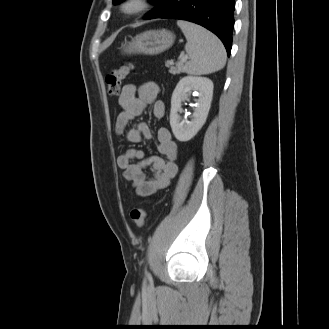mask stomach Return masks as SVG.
I'll list each match as a JSON object with an SVG mask.
<instances>
[{
  "label": "stomach",
  "instance_id": "obj_1",
  "mask_svg": "<svg viewBox=\"0 0 329 329\" xmlns=\"http://www.w3.org/2000/svg\"><path fill=\"white\" fill-rule=\"evenodd\" d=\"M174 39L175 36L168 30H151L137 35L131 42L123 44L121 49L125 54L154 55L169 49Z\"/></svg>",
  "mask_w": 329,
  "mask_h": 329
}]
</instances>
